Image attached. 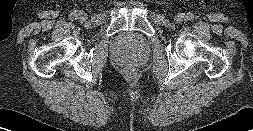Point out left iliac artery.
I'll return each instance as SVG.
<instances>
[{
  "mask_svg": "<svg viewBox=\"0 0 253 131\" xmlns=\"http://www.w3.org/2000/svg\"><path fill=\"white\" fill-rule=\"evenodd\" d=\"M194 19V14H192V13H188L187 15H186V20H193Z\"/></svg>",
  "mask_w": 253,
  "mask_h": 131,
  "instance_id": "obj_1",
  "label": "left iliac artery"
}]
</instances>
